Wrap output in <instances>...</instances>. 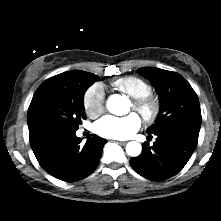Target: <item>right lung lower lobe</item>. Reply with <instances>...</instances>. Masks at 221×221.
Returning <instances> with one entry per match:
<instances>
[{"instance_id":"98d812e1","label":"right lung lower lobe","mask_w":221,"mask_h":221,"mask_svg":"<svg viewBox=\"0 0 221 221\" xmlns=\"http://www.w3.org/2000/svg\"><path fill=\"white\" fill-rule=\"evenodd\" d=\"M76 131H57L43 135L32 150L40 166L55 178L73 182L86 178L98 166L107 142L95 134L81 146Z\"/></svg>"}]
</instances>
